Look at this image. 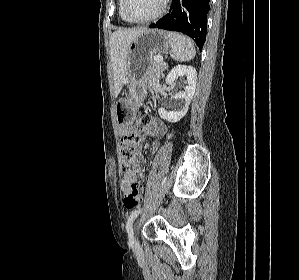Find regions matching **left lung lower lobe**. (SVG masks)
Masks as SVG:
<instances>
[{
  "label": "left lung lower lobe",
  "instance_id": "left-lung-lower-lobe-1",
  "mask_svg": "<svg viewBox=\"0 0 299 280\" xmlns=\"http://www.w3.org/2000/svg\"><path fill=\"white\" fill-rule=\"evenodd\" d=\"M210 0H172L169 13L151 28L179 31L195 40L199 49L206 40Z\"/></svg>",
  "mask_w": 299,
  "mask_h": 280
}]
</instances>
